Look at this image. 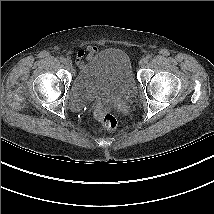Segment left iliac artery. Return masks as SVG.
Returning a JSON list of instances; mask_svg holds the SVG:
<instances>
[{"instance_id": "obj_1", "label": "left iliac artery", "mask_w": 214, "mask_h": 214, "mask_svg": "<svg viewBox=\"0 0 214 214\" xmlns=\"http://www.w3.org/2000/svg\"><path fill=\"white\" fill-rule=\"evenodd\" d=\"M151 57H152V56H151L150 54H148V55L146 56V58H145L146 61H148L149 59H151Z\"/></svg>"}]
</instances>
